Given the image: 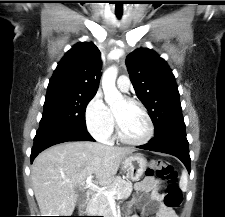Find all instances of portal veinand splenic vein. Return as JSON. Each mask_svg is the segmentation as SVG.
<instances>
[{
    "mask_svg": "<svg viewBox=\"0 0 225 217\" xmlns=\"http://www.w3.org/2000/svg\"><path fill=\"white\" fill-rule=\"evenodd\" d=\"M91 179H92L91 177H88L87 180L84 182L86 187H88L92 190H95L98 193H103L108 198H113V196L117 194L116 191H107L104 188H100V187L96 186L95 184L92 183Z\"/></svg>",
    "mask_w": 225,
    "mask_h": 217,
    "instance_id": "obj_1",
    "label": "portal vein and splenic vein"
}]
</instances>
